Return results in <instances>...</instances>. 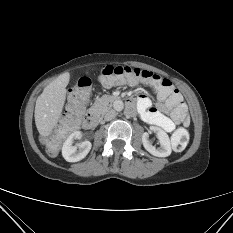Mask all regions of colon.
Listing matches in <instances>:
<instances>
[{
	"instance_id": "colon-1",
	"label": "colon",
	"mask_w": 233,
	"mask_h": 233,
	"mask_svg": "<svg viewBox=\"0 0 233 233\" xmlns=\"http://www.w3.org/2000/svg\"><path fill=\"white\" fill-rule=\"evenodd\" d=\"M100 82L106 87L144 84L151 88L159 99L171 105L172 117L176 122L182 124L189 122L187 105L183 102L179 91L168 79L157 74L128 66L105 65L101 69ZM90 93L91 81L87 77L80 78L70 90L69 105L63 121L52 135L44 139L49 152L55 153L63 140L79 128ZM188 141V131L183 128L178 129L171 139L172 148L175 151H182Z\"/></svg>"
}]
</instances>
